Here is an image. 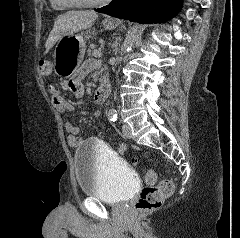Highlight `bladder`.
Listing matches in <instances>:
<instances>
[{
	"label": "bladder",
	"instance_id": "31cf9c89",
	"mask_svg": "<svg viewBox=\"0 0 240 238\" xmlns=\"http://www.w3.org/2000/svg\"><path fill=\"white\" fill-rule=\"evenodd\" d=\"M74 167L78 187L85 196L121 204L135 193L134 171L111 148L95 140L84 141L78 147Z\"/></svg>",
	"mask_w": 240,
	"mask_h": 238
}]
</instances>
